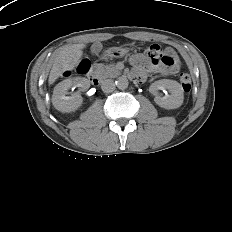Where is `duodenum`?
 <instances>
[{
	"mask_svg": "<svg viewBox=\"0 0 232 232\" xmlns=\"http://www.w3.org/2000/svg\"><path fill=\"white\" fill-rule=\"evenodd\" d=\"M89 80L95 84H98L101 79L96 68L92 67L87 74Z\"/></svg>",
	"mask_w": 232,
	"mask_h": 232,
	"instance_id": "1",
	"label": "duodenum"
}]
</instances>
